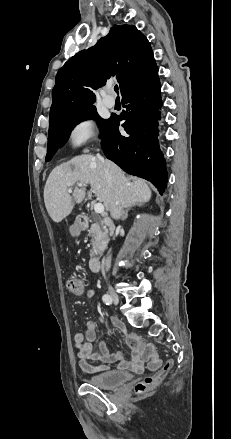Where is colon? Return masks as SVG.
I'll list each match as a JSON object with an SVG mask.
<instances>
[{
  "instance_id": "obj_1",
  "label": "colon",
  "mask_w": 231,
  "mask_h": 439,
  "mask_svg": "<svg viewBox=\"0 0 231 439\" xmlns=\"http://www.w3.org/2000/svg\"><path fill=\"white\" fill-rule=\"evenodd\" d=\"M66 285L68 291L72 294L77 295L83 291V283L77 278H69ZM127 342L131 348L140 350V354L147 362L149 370L155 371L153 374L145 376L135 385V392L141 394L154 388L164 379L172 367V362L167 361L166 363L161 364L154 347L150 344L143 343L135 335L129 336Z\"/></svg>"
}]
</instances>
